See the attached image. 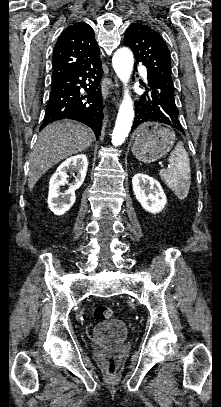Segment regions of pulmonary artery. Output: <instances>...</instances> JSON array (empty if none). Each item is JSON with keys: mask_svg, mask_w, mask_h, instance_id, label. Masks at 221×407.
Instances as JSON below:
<instances>
[{"mask_svg": "<svg viewBox=\"0 0 221 407\" xmlns=\"http://www.w3.org/2000/svg\"><path fill=\"white\" fill-rule=\"evenodd\" d=\"M141 71H142V73H143L144 75H146V70H145V68H142Z\"/></svg>", "mask_w": 221, "mask_h": 407, "instance_id": "e3ab8cb5", "label": "pulmonary artery"}]
</instances>
